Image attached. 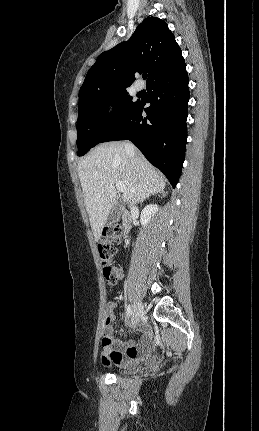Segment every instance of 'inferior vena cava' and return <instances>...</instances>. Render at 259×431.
Listing matches in <instances>:
<instances>
[{
    "instance_id": "1",
    "label": "inferior vena cava",
    "mask_w": 259,
    "mask_h": 431,
    "mask_svg": "<svg viewBox=\"0 0 259 431\" xmlns=\"http://www.w3.org/2000/svg\"><path fill=\"white\" fill-rule=\"evenodd\" d=\"M125 149L128 152H133L134 151V146L131 143H126ZM130 204H131V206H133L134 202L132 201V202H130Z\"/></svg>"
}]
</instances>
